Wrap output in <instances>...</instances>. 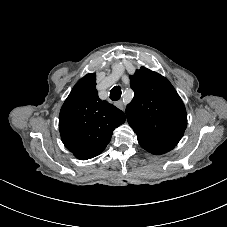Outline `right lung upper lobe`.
I'll list each match as a JSON object with an SVG mask.
<instances>
[{
  "label": "right lung upper lobe",
  "mask_w": 227,
  "mask_h": 227,
  "mask_svg": "<svg viewBox=\"0 0 227 227\" xmlns=\"http://www.w3.org/2000/svg\"><path fill=\"white\" fill-rule=\"evenodd\" d=\"M125 122V114L98 97L95 73L80 79L59 114V131L65 147L80 160L99 155L113 130Z\"/></svg>",
  "instance_id": "right-lung-upper-lobe-1"
}]
</instances>
